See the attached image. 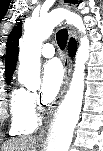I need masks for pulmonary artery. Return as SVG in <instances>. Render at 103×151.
Segmentation results:
<instances>
[{"instance_id": "obj_1", "label": "pulmonary artery", "mask_w": 103, "mask_h": 151, "mask_svg": "<svg viewBox=\"0 0 103 151\" xmlns=\"http://www.w3.org/2000/svg\"><path fill=\"white\" fill-rule=\"evenodd\" d=\"M41 54L45 58L53 57L54 54H55L54 46L50 43L44 44L43 47H42V50H41Z\"/></svg>"}]
</instances>
